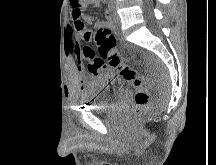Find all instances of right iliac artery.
Listing matches in <instances>:
<instances>
[{
    "mask_svg": "<svg viewBox=\"0 0 216 165\" xmlns=\"http://www.w3.org/2000/svg\"><path fill=\"white\" fill-rule=\"evenodd\" d=\"M113 10L112 0H109V11L111 12Z\"/></svg>",
    "mask_w": 216,
    "mask_h": 165,
    "instance_id": "obj_1",
    "label": "right iliac artery"
}]
</instances>
